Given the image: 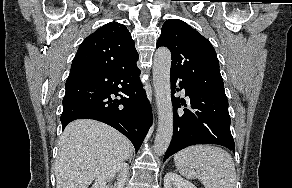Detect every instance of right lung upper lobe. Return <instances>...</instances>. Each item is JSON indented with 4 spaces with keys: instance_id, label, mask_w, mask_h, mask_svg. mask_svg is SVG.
<instances>
[{
    "instance_id": "cb5924a9",
    "label": "right lung upper lobe",
    "mask_w": 292,
    "mask_h": 188,
    "mask_svg": "<svg viewBox=\"0 0 292 188\" xmlns=\"http://www.w3.org/2000/svg\"><path fill=\"white\" fill-rule=\"evenodd\" d=\"M138 53L125 25L110 22L89 35L72 61L74 70H122L136 66Z\"/></svg>"
}]
</instances>
